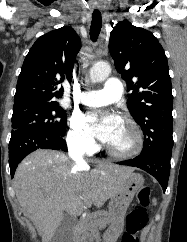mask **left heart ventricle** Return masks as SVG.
Segmentation results:
<instances>
[{
	"instance_id": "left-heart-ventricle-1",
	"label": "left heart ventricle",
	"mask_w": 187,
	"mask_h": 242,
	"mask_svg": "<svg viewBox=\"0 0 187 242\" xmlns=\"http://www.w3.org/2000/svg\"><path fill=\"white\" fill-rule=\"evenodd\" d=\"M108 145L119 151H127L135 145V135L132 128L119 119L115 132Z\"/></svg>"
}]
</instances>
